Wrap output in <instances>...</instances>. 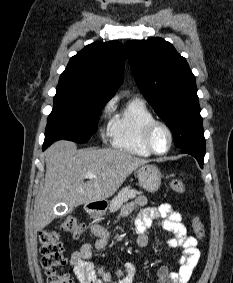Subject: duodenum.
<instances>
[{"label": "duodenum", "instance_id": "410a0bca", "mask_svg": "<svg viewBox=\"0 0 233 283\" xmlns=\"http://www.w3.org/2000/svg\"><path fill=\"white\" fill-rule=\"evenodd\" d=\"M105 208H106V204H105V202H102V201L94 202V203L89 205V211L91 213H100Z\"/></svg>", "mask_w": 233, "mask_h": 283}]
</instances>
